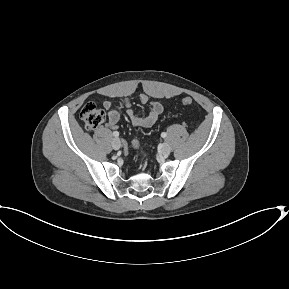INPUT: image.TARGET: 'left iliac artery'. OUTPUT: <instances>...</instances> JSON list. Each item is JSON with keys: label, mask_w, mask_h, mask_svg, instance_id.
I'll return each mask as SVG.
<instances>
[{"label": "left iliac artery", "mask_w": 289, "mask_h": 289, "mask_svg": "<svg viewBox=\"0 0 289 289\" xmlns=\"http://www.w3.org/2000/svg\"><path fill=\"white\" fill-rule=\"evenodd\" d=\"M167 134L165 132L161 133V137L165 138Z\"/></svg>", "instance_id": "left-iliac-artery-1"}]
</instances>
